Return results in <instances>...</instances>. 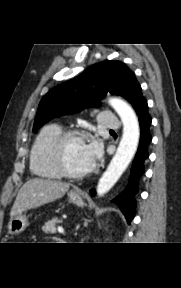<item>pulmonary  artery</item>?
Wrapping results in <instances>:
<instances>
[{
	"instance_id": "obj_1",
	"label": "pulmonary artery",
	"mask_w": 181,
	"mask_h": 288,
	"mask_svg": "<svg viewBox=\"0 0 181 288\" xmlns=\"http://www.w3.org/2000/svg\"><path fill=\"white\" fill-rule=\"evenodd\" d=\"M100 126L106 129H117L120 127L119 119L111 112L103 111L98 116Z\"/></svg>"
}]
</instances>
